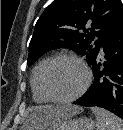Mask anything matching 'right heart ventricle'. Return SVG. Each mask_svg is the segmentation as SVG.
<instances>
[{"instance_id": "1", "label": "right heart ventricle", "mask_w": 123, "mask_h": 130, "mask_svg": "<svg viewBox=\"0 0 123 130\" xmlns=\"http://www.w3.org/2000/svg\"><path fill=\"white\" fill-rule=\"evenodd\" d=\"M49 60H50L49 57L40 60L35 65L31 73L30 84H31L33 99L37 103H47L49 101L48 98L44 95L41 88V74L45 65Z\"/></svg>"}]
</instances>
